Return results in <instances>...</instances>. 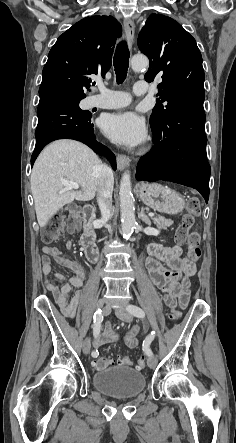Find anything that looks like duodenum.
Masks as SVG:
<instances>
[{
    "label": "duodenum",
    "instance_id": "duodenum-1",
    "mask_svg": "<svg viewBox=\"0 0 236 443\" xmlns=\"http://www.w3.org/2000/svg\"><path fill=\"white\" fill-rule=\"evenodd\" d=\"M96 210L93 206H86L83 209L85 219L84 232L80 239V245L84 249L86 257L90 263H95L97 259L96 234L92 225Z\"/></svg>",
    "mask_w": 236,
    "mask_h": 443
}]
</instances>
